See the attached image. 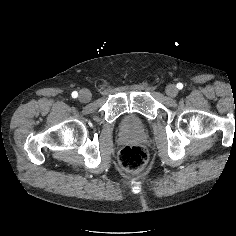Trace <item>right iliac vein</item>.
Wrapping results in <instances>:
<instances>
[{"instance_id": "1", "label": "right iliac vein", "mask_w": 236, "mask_h": 236, "mask_svg": "<svg viewBox=\"0 0 236 236\" xmlns=\"http://www.w3.org/2000/svg\"><path fill=\"white\" fill-rule=\"evenodd\" d=\"M78 99L82 103H87L91 100V93L87 89H83L79 92Z\"/></svg>"}]
</instances>
